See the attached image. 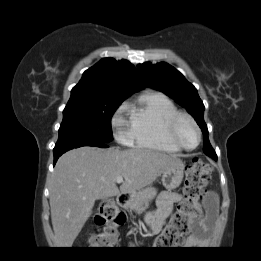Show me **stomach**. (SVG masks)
I'll use <instances>...</instances> for the list:
<instances>
[{
    "label": "stomach",
    "mask_w": 261,
    "mask_h": 261,
    "mask_svg": "<svg viewBox=\"0 0 261 261\" xmlns=\"http://www.w3.org/2000/svg\"><path fill=\"white\" fill-rule=\"evenodd\" d=\"M184 168L185 166L180 160V162L162 174V184L167 190L176 189L181 184ZM156 195L157 191L154 187H147L131 196L126 202V206L130 209H135L140 205L148 203V201L152 200Z\"/></svg>",
    "instance_id": "obj_1"
}]
</instances>
